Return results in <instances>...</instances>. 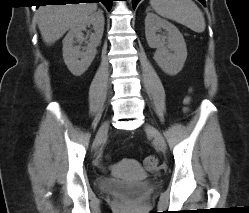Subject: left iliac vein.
Here are the masks:
<instances>
[{"mask_svg": "<svg viewBox=\"0 0 249 213\" xmlns=\"http://www.w3.org/2000/svg\"><path fill=\"white\" fill-rule=\"evenodd\" d=\"M145 131L153 136L155 142L157 143L161 151L165 152L167 149V146H166V142H165L163 135L155 127H153L150 124L145 125Z\"/></svg>", "mask_w": 249, "mask_h": 213, "instance_id": "1", "label": "left iliac vein"}]
</instances>
